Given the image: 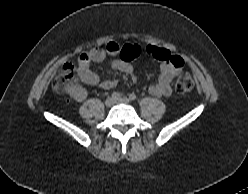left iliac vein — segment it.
I'll use <instances>...</instances> for the list:
<instances>
[{"label":"left iliac vein","mask_w":248,"mask_h":194,"mask_svg":"<svg viewBox=\"0 0 248 194\" xmlns=\"http://www.w3.org/2000/svg\"><path fill=\"white\" fill-rule=\"evenodd\" d=\"M115 103L117 104H129L130 100L127 97H120L115 100Z\"/></svg>","instance_id":"1"}]
</instances>
